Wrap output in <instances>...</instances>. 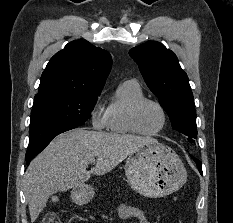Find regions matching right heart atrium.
<instances>
[{
    "label": "right heart atrium",
    "instance_id": "d8ad5b80",
    "mask_svg": "<svg viewBox=\"0 0 233 223\" xmlns=\"http://www.w3.org/2000/svg\"><path fill=\"white\" fill-rule=\"evenodd\" d=\"M90 118L95 129L100 130L106 126L105 112L99 110L97 106L91 109Z\"/></svg>",
    "mask_w": 233,
    "mask_h": 223
}]
</instances>
